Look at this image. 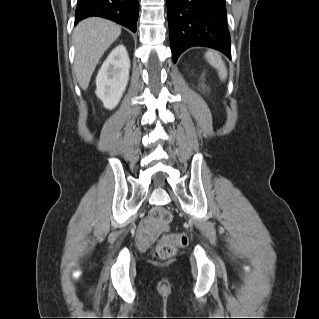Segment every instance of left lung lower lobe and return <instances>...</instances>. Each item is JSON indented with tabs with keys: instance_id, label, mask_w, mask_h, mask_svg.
<instances>
[{
	"instance_id": "1",
	"label": "left lung lower lobe",
	"mask_w": 319,
	"mask_h": 319,
	"mask_svg": "<svg viewBox=\"0 0 319 319\" xmlns=\"http://www.w3.org/2000/svg\"><path fill=\"white\" fill-rule=\"evenodd\" d=\"M174 63L193 46L214 48L231 59L225 0H167Z\"/></svg>"
}]
</instances>
